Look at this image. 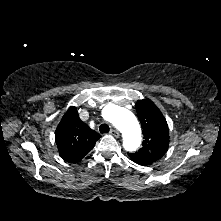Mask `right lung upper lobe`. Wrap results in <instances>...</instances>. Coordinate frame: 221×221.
<instances>
[{
    "instance_id": "obj_1",
    "label": "right lung upper lobe",
    "mask_w": 221,
    "mask_h": 221,
    "mask_svg": "<svg viewBox=\"0 0 221 221\" xmlns=\"http://www.w3.org/2000/svg\"><path fill=\"white\" fill-rule=\"evenodd\" d=\"M101 136L79 118L76 107H70L55 131L60 157L67 162L80 161Z\"/></svg>"
}]
</instances>
